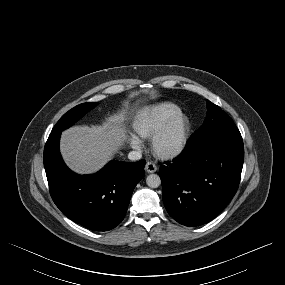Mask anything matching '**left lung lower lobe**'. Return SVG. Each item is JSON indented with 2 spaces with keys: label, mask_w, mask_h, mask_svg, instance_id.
Here are the masks:
<instances>
[{
  "label": "left lung lower lobe",
  "mask_w": 285,
  "mask_h": 285,
  "mask_svg": "<svg viewBox=\"0 0 285 285\" xmlns=\"http://www.w3.org/2000/svg\"><path fill=\"white\" fill-rule=\"evenodd\" d=\"M243 161L242 138L188 145L172 163L160 167L170 216L185 226L214 219L235 195Z\"/></svg>",
  "instance_id": "0a47b994"
}]
</instances>
